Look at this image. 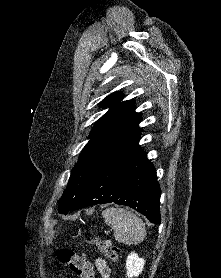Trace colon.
<instances>
[{"label":"colon","instance_id":"1","mask_svg":"<svg viewBox=\"0 0 221 278\" xmlns=\"http://www.w3.org/2000/svg\"><path fill=\"white\" fill-rule=\"evenodd\" d=\"M87 242L97 248L110 261L115 262L119 258V249L108 241H104L98 236L90 235L87 237ZM57 260L70 272L78 275L80 278H93L94 273L92 267L85 260L83 255L78 254L69 248H59L57 250Z\"/></svg>","mask_w":221,"mask_h":278}]
</instances>
